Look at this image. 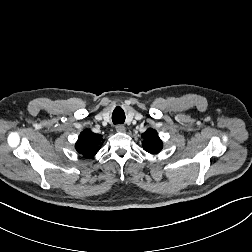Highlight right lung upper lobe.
<instances>
[{
  "mask_svg": "<svg viewBox=\"0 0 252 252\" xmlns=\"http://www.w3.org/2000/svg\"><path fill=\"white\" fill-rule=\"evenodd\" d=\"M102 144V135L86 129L80 133L75 148L85 158H90L95 156Z\"/></svg>",
  "mask_w": 252,
  "mask_h": 252,
  "instance_id": "1",
  "label": "right lung upper lobe"
}]
</instances>
